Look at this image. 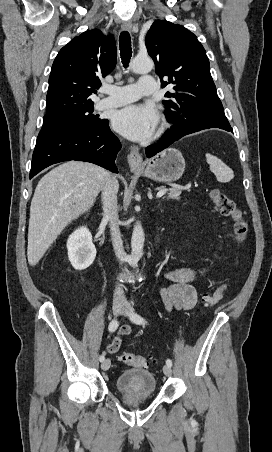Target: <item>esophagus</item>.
Masks as SVG:
<instances>
[{
  "instance_id": "1",
  "label": "esophagus",
  "mask_w": 272,
  "mask_h": 452,
  "mask_svg": "<svg viewBox=\"0 0 272 452\" xmlns=\"http://www.w3.org/2000/svg\"><path fill=\"white\" fill-rule=\"evenodd\" d=\"M121 27L123 30L129 31L132 28V24L129 21H124ZM127 160L130 168H138L142 165L143 159L137 147H131Z\"/></svg>"
}]
</instances>
